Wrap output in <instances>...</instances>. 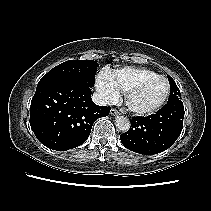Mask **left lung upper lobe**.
Here are the masks:
<instances>
[{
    "instance_id": "5c2ea615",
    "label": "left lung upper lobe",
    "mask_w": 211,
    "mask_h": 211,
    "mask_svg": "<svg viewBox=\"0 0 211 211\" xmlns=\"http://www.w3.org/2000/svg\"><path fill=\"white\" fill-rule=\"evenodd\" d=\"M168 80L170 83V96L168 102L177 101L181 99L180 90L177 87L175 81L168 75Z\"/></svg>"
}]
</instances>
